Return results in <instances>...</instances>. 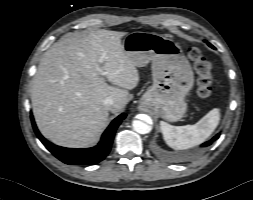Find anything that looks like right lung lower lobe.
I'll return each instance as SVG.
<instances>
[{
  "label": "right lung lower lobe",
  "mask_w": 253,
  "mask_h": 200,
  "mask_svg": "<svg viewBox=\"0 0 253 200\" xmlns=\"http://www.w3.org/2000/svg\"><path fill=\"white\" fill-rule=\"evenodd\" d=\"M126 117L125 113H122L117 118H115L108 128L103 133L100 142L97 146L92 148L85 149H74V148H64L60 146H55L52 143L48 142L38 131L37 126L32 118V125L34 131L40 141L44 144V146L59 160L62 162L74 165V164H96L102 161L111 149V144L114 138V134L121 121Z\"/></svg>",
  "instance_id": "1"
}]
</instances>
